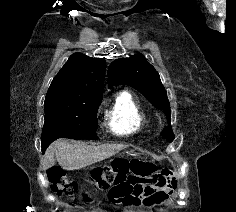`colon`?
<instances>
[{"label":"colon","instance_id":"5ec220e1","mask_svg":"<svg viewBox=\"0 0 236 212\" xmlns=\"http://www.w3.org/2000/svg\"><path fill=\"white\" fill-rule=\"evenodd\" d=\"M151 167L137 161L126 159L115 160L109 165L97 168L91 175V183L97 190H106L114 187L118 175H148ZM48 179L51 189L59 196L74 197L78 193V184L69 178L59 167L51 168L48 172ZM90 194L84 192L82 198L89 199Z\"/></svg>","mask_w":236,"mask_h":212}]
</instances>
